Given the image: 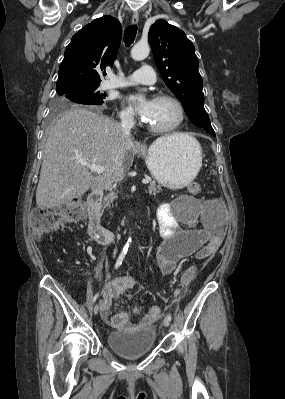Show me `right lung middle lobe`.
Instances as JSON below:
<instances>
[{"mask_svg":"<svg viewBox=\"0 0 285 399\" xmlns=\"http://www.w3.org/2000/svg\"><path fill=\"white\" fill-rule=\"evenodd\" d=\"M57 93L53 116L65 109L77 107L79 105H92L96 107L106 104L104 101L106 95L100 94L98 87L90 89H65L57 91Z\"/></svg>","mask_w":285,"mask_h":399,"instance_id":"1","label":"right lung middle lobe"}]
</instances>
